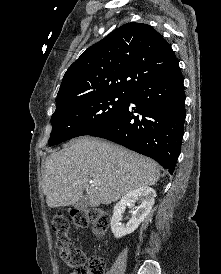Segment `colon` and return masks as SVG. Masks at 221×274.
<instances>
[{
    "label": "colon",
    "instance_id": "1",
    "mask_svg": "<svg viewBox=\"0 0 221 274\" xmlns=\"http://www.w3.org/2000/svg\"><path fill=\"white\" fill-rule=\"evenodd\" d=\"M71 221L77 229L91 227L94 236L102 237L107 232L110 218L106 211L99 208L76 209L71 212ZM52 228L56 233L61 258L68 267L74 269L73 274H104L105 265L99 257L90 258L86 265L82 250L71 245L69 220L62 213L53 217Z\"/></svg>",
    "mask_w": 221,
    "mask_h": 274
}]
</instances>
